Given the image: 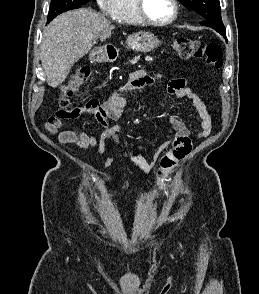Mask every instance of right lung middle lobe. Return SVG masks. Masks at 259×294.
Segmentation results:
<instances>
[{
	"label": "right lung middle lobe",
	"mask_w": 259,
	"mask_h": 294,
	"mask_svg": "<svg viewBox=\"0 0 259 294\" xmlns=\"http://www.w3.org/2000/svg\"><path fill=\"white\" fill-rule=\"evenodd\" d=\"M89 1L90 0H52L47 21H52L57 15L65 11L80 8L82 4H86Z\"/></svg>",
	"instance_id": "1"
}]
</instances>
